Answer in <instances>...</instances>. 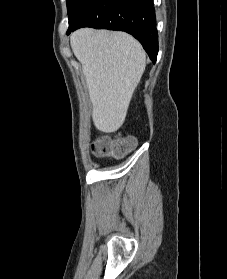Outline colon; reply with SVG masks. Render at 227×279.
Listing matches in <instances>:
<instances>
[{
  "mask_svg": "<svg viewBox=\"0 0 227 279\" xmlns=\"http://www.w3.org/2000/svg\"><path fill=\"white\" fill-rule=\"evenodd\" d=\"M136 145V138L109 142L104 139L97 140L91 148L92 154L97 158L123 157Z\"/></svg>",
  "mask_w": 227,
  "mask_h": 279,
  "instance_id": "1",
  "label": "colon"
}]
</instances>
